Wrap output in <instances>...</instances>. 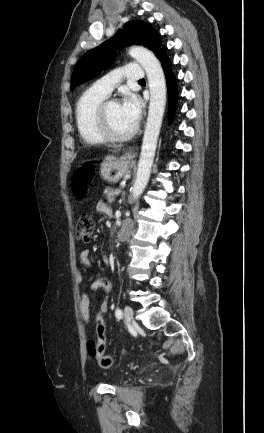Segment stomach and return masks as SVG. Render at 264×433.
Wrapping results in <instances>:
<instances>
[{
    "instance_id": "obj_1",
    "label": "stomach",
    "mask_w": 264,
    "mask_h": 433,
    "mask_svg": "<svg viewBox=\"0 0 264 433\" xmlns=\"http://www.w3.org/2000/svg\"><path fill=\"white\" fill-rule=\"evenodd\" d=\"M132 165L133 157L130 154H124L119 159L107 156L100 165V176L109 183H117L130 171Z\"/></svg>"
}]
</instances>
